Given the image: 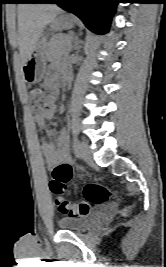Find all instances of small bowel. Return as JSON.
Returning <instances> with one entry per match:
<instances>
[{
    "label": "small bowel",
    "mask_w": 166,
    "mask_h": 267,
    "mask_svg": "<svg viewBox=\"0 0 166 267\" xmlns=\"http://www.w3.org/2000/svg\"><path fill=\"white\" fill-rule=\"evenodd\" d=\"M56 70L57 67L53 66V77L45 82V85L55 94L57 92L56 85ZM64 75L69 73V69L67 67H63ZM55 109L51 107L50 109L43 111L41 113H37L34 115V121L37 125V129L41 134L40 145L42 154L44 156L46 165L54 170V168L58 166H65L71 168V157L68 149V137L67 132L64 128L60 129L58 132H54L51 129H48L45 126V121L51 119L54 116ZM56 135L57 137V147L53 145L52 142L49 141V137ZM72 169V168H71Z\"/></svg>",
    "instance_id": "1"
}]
</instances>
